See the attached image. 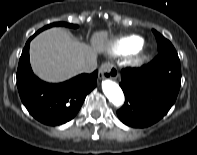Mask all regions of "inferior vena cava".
<instances>
[{"label":"inferior vena cava","mask_w":197,"mask_h":155,"mask_svg":"<svg viewBox=\"0 0 197 155\" xmlns=\"http://www.w3.org/2000/svg\"><path fill=\"white\" fill-rule=\"evenodd\" d=\"M97 68V62L96 61H92L90 63H86L81 67V72L84 73H91L93 71H95Z\"/></svg>","instance_id":"inferior-vena-cava-1"}]
</instances>
